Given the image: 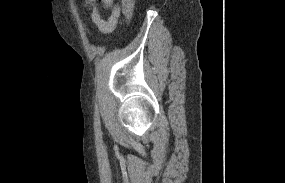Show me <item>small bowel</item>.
<instances>
[{"label": "small bowel", "instance_id": "small-bowel-1", "mask_svg": "<svg viewBox=\"0 0 285 183\" xmlns=\"http://www.w3.org/2000/svg\"><path fill=\"white\" fill-rule=\"evenodd\" d=\"M101 2L103 8L109 9L108 17H105L99 8ZM85 5L90 9V19L96 28L102 33L113 31L121 16V9L114 0H84Z\"/></svg>", "mask_w": 285, "mask_h": 183}]
</instances>
